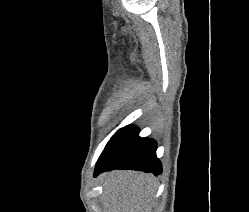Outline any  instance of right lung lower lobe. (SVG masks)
Here are the masks:
<instances>
[{"mask_svg":"<svg viewBox=\"0 0 249 212\" xmlns=\"http://www.w3.org/2000/svg\"><path fill=\"white\" fill-rule=\"evenodd\" d=\"M139 129L128 125L117 131L101 153L94 176L113 169H131L162 173V165L156 157V142L139 137Z\"/></svg>","mask_w":249,"mask_h":212,"instance_id":"obj_1","label":"right lung lower lobe"}]
</instances>
